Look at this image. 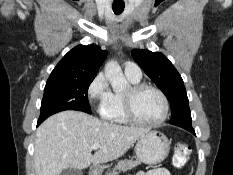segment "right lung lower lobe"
I'll use <instances>...</instances> for the list:
<instances>
[{
	"instance_id": "98d812e1",
	"label": "right lung lower lobe",
	"mask_w": 233,
	"mask_h": 175,
	"mask_svg": "<svg viewBox=\"0 0 233 175\" xmlns=\"http://www.w3.org/2000/svg\"><path fill=\"white\" fill-rule=\"evenodd\" d=\"M44 120H38L37 126L41 124Z\"/></svg>"
}]
</instances>
